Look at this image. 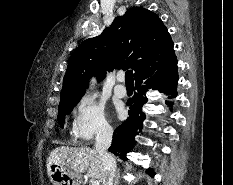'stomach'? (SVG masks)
Listing matches in <instances>:
<instances>
[{
  "label": "stomach",
  "mask_w": 233,
  "mask_h": 185,
  "mask_svg": "<svg viewBox=\"0 0 233 185\" xmlns=\"http://www.w3.org/2000/svg\"><path fill=\"white\" fill-rule=\"evenodd\" d=\"M50 180L54 185H80L81 176L69 168L52 164Z\"/></svg>",
  "instance_id": "1"
}]
</instances>
